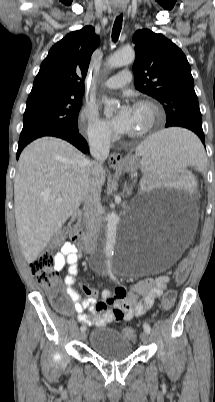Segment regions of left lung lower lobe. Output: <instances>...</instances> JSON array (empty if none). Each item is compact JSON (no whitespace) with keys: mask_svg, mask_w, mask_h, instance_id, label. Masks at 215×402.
Returning a JSON list of instances; mask_svg holds the SVG:
<instances>
[{"mask_svg":"<svg viewBox=\"0 0 215 402\" xmlns=\"http://www.w3.org/2000/svg\"><path fill=\"white\" fill-rule=\"evenodd\" d=\"M172 126H179V127H183V128H187L189 130H192L194 133H196L199 138L201 139V141L203 142V144H205V140H204V133L203 130L201 128L198 127H194L185 123H180V122H174V123H169L166 124L165 127H172Z\"/></svg>","mask_w":215,"mask_h":402,"instance_id":"0a47b994","label":"left lung lower lobe"}]
</instances>
